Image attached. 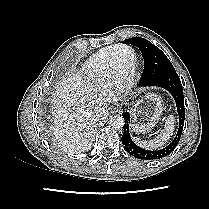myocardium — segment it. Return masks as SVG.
Masks as SVG:
<instances>
[{
    "label": "myocardium",
    "mask_w": 209,
    "mask_h": 209,
    "mask_svg": "<svg viewBox=\"0 0 209 209\" xmlns=\"http://www.w3.org/2000/svg\"><path fill=\"white\" fill-rule=\"evenodd\" d=\"M130 50L133 55H136L135 50L129 45H120L117 50L113 53L108 69V85L114 87L118 90H123L129 86L131 83L134 72H135V63L130 66L125 72H120L117 67V60L119 54L122 51Z\"/></svg>",
    "instance_id": "f54148a6"
}]
</instances>
